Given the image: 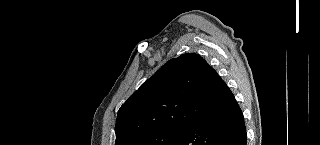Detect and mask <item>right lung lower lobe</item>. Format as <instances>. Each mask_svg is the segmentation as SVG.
<instances>
[{"label": "right lung lower lobe", "instance_id": "right-lung-lower-lobe-1", "mask_svg": "<svg viewBox=\"0 0 320 145\" xmlns=\"http://www.w3.org/2000/svg\"><path fill=\"white\" fill-rule=\"evenodd\" d=\"M219 91L221 100L215 112L188 125L170 145H246L242 111L225 82Z\"/></svg>", "mask_w": 320, "mask_h": 145}]
</instances>
